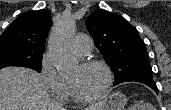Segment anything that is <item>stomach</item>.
<instances>
[{
    "instance_id": "1",
    "label": "stomach",
    "mask_w": 171,
    "mask_h": 110,
    "mask_svg": "<svg viewBox=\"0 0 171 110\" xmlns=\"http://www.w3.org/2000/svg\"><path fill=\"white\" fill-rule=\"evenodd\" d=\"M126 96L119 92L112 93L109 98L104 101L101 106L93 110H124L126 104Z\"/></svg>"
}]
</instances>
